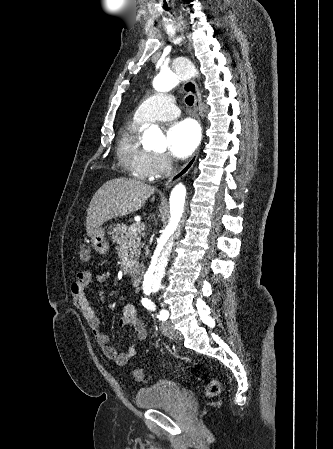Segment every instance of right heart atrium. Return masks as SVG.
<instances>
[{"label":"right heart atrium","mask_w":333,"mask_h":449,"mask_svg":"<svg viewBox=\"0 0 333 449\" xmlns=\"http://www.w3.org/2000/svg\"><path fill=\"white\" fill-rule=\"evenodd\" d=\"M150 169L153 178L162 177L172 170L171 159L163 153H154L150 156Z\"/></svg>","instance_id":"1"}]
</instances>
